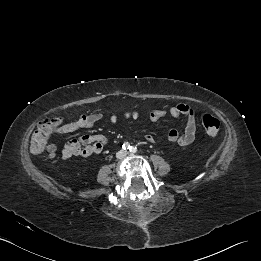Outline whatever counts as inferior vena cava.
<instances>
[{
    "mask_svg": "<svg viewBox=\"0 0 261 261\" xmlns=\"http://www.w3.org/2000/svg\"><path fill=\"white\" fill-rule=\"evenodd\" d=\"M125 157H126V152L123 151V150H120V151H118V152L116 153V158H118V159H123V158H125Z\"/></svg>",
    "mask_w": 261,
    "mask_h": 261,
    "instance_id": "602c4592",
    "label": "inferior vena cava"
}]
</instances>
